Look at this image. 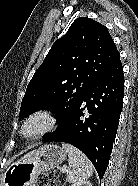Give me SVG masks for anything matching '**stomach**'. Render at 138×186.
Segmentation results:
<instances>
[{
	"label": "stomach",
	"mask_w": 138,
	"mask_h": 186,
	"mask_svg": "<svg viewBox=\"0 0 138 186\" xmlns=\"http://www.w3.org/2000/svg\"><path fill=\"white\" fill-rule=\"evenodd\" d=\"M66 152L58 145H45L13 162L6 169L0 186H35L36 177L58 167Z\"/></svg>",
	"instance_id": "stomach-1"
}]
</instances>
